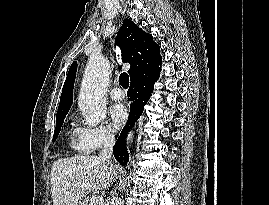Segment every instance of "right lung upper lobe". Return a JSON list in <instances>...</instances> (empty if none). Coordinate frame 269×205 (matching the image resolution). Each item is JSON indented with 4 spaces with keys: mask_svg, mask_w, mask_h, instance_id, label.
I'll use <instances>...</instances> for the list:
<instances>
[{
    "mask_svg": "<svg viewBox=\"0 0 269 205\" xmlns=\"http://www.w3.org/2000/svg\"><path fill=\"white\" fill-rule=\"evenodd\" d=\"M115 44L121 47L123 62L131 64L128 70L131 82L153 73L160 74L162 60L159 46L153 41L151 35L144 32L131 20L123 22ZM76 71L77 63L73 62L63 86L56 118L66 116L71 107Z\"/></svg>",
    "mask_w": 269,
    "mask_h": 205,
    "instance_id": "cb5924a9",
    "label": "right lung upper lobe"
}]
</instances>
